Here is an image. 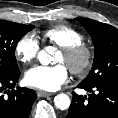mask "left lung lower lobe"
I'll use <instances>...</instances> for the list:
<instances>
[{
    "instance_id": "left-lung-lower-lobe-1",
    "label": "left lung lower lobe",
    "mask_w": 118,
    "mask_h": 118,
    "mask_svg": "<svg viewBox=\"0 0 118 118\" xmlns=\"http://www.w3.org/2000/svg\"><path fill=\"white\" fill-rule=\"evenodd\" d=\"M77 87L88 90L92 94L83 97L73 92L66 118H118V80L102 82L94 86L80 83Z\"/></svg>"
}]
</instances>
